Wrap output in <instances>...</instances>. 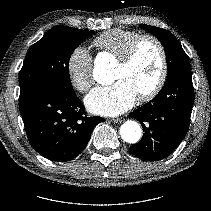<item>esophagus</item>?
<instances>
[{"instance_id":"obj_1","label":"esophagus","mask_w":211,"mask_h":211,"mask_svg":"<svg viewBox=\"0 0 211 211\" xmlns=\"http://www.w3.org/2000/svg\"><path fill=\"white\" fill-rule=\"evenodd\" d=\"M109 121L112 123H120L122 120H121V118H111V119H109Z\"/></svg>"}]
</instances>
